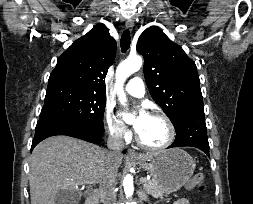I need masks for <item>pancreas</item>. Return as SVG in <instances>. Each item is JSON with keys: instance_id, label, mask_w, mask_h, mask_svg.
<instances>
[{"instance_id": "cf45deb5", "label": "pancreas", "mask_w": 253, "mask_h": 204, "mask_svg": "<svg viewBox=\"0 0 253 204\" xmlns=\"http://www.w3.org/2000/svg\"><path fill=\"white\" fill-rule=\"evenodd\" d=\"M144 190L147 194H150L154 197H167L168 195V192H165L156 182L152 180L144 183Z\"/></svg>"}]
</instances>
